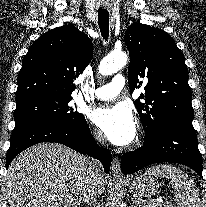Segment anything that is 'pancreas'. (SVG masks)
Masks as SVG:
<instances>
[{
    "instance_id": "cf45deb5",
    "label": "pancreas",
    "mask_w": 206,
    "mask_h": 207,
    "mask_svg": "<svg viewBox=\"0 0 206 207\" xmlns=\"http://www.w3.org/2000/svg\"><path fill=\"white\" fill-rule=\"evenodd\" d=\"M140 205L141 207H161L159 204L152 200H140ZM167 207H172V206H167Z\"/></svg>"
}]
</instances>
